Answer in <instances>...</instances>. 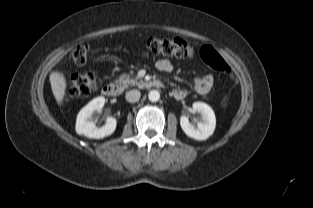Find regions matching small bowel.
I'll return each mask as SVG.
<instances>
[{"label": "small bowel", "mask_w": 313, "mask_h": 208, "mask_svg": "<svg viewBox=\"0 0 313 208\" xmlns=\"http://www.w3.org/2000/svg\"><path fill=\"white\" fill-rule=\"evenodd\" d=\"M156 68L161 72H170L173 66L170 61L162 59L157 61ZM213 86V78L210 75L198 76L193 79V89L196 93L207 94ZM188 92L185 89L176 88L172 91V96L178 100L184 99Z\"/></svg>", "instance_id": "c3829d8e"}]
</instances>
